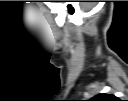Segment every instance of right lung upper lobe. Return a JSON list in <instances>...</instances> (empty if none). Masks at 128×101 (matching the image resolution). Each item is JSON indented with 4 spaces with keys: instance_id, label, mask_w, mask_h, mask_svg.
Returning <instances> with one entry per match:
<instances>
[{
    "instance_id": "cb5924a9",
    "label": "right lung upper lobe",
    "mask_w": 128,
    "mask_h": 101,
    "mask_svg": "<svg viewBox=\"0 0 128 101\" xmlns=\"http://www.w3.org/2000/svg\"><path fill=\"white\" fill-rule=\"evenodd\" d=\"M96 101H116V97L114 95L108 94H99L94 97Z\"/></svg>"
}]
</instances>
